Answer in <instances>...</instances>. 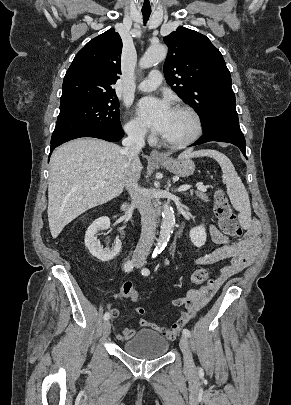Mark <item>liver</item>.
Segmentation results:
<instances>
[{"label": "liver", "instance_id": "liver-1", "mask_svg": "<svg viewBox=\"0 0 291 405\" xmlns=\"http://www.w3.org/2000/svg\"><path fill=\"white\" fill-rule=\"evenodd\" d=\"M141 170L139 157L129 166L121 147L104 140L80 138L58 147L50 159L48 182L52 237L85 211L119 196L128 176ZM94 180L109 184L96 187Z\"/></svg>", "mask_w": 291, "mask_h": 405}]
</instances>
